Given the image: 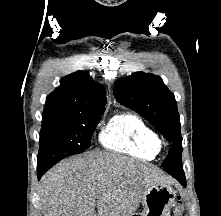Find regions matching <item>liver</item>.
<instances>
[{"instance_id": "6515ba94", "label": "liver", "mask_w": 221, "mask_h": 216, "mask_svg": "<svg viewBox=\"0 0 221 216\" xmlns=\"http://www.w3.org/2000/svg\"><path fill=\"white\" fill-rule=\"evenodd\" d=\"M166 182L151 164L93 151L50 169L38 195L44 216H132L147 189Z\"/></svg>"}]
</instances>
